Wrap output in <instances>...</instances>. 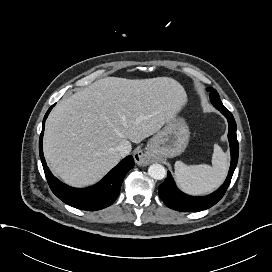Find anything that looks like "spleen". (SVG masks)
<instances>
[{
    "mask_svg": "<svg viewBox=\"0 0 272 272\" xmlns=\"http://www.w3.org/2000/svg\"><path fill=\"white\" fill-rule=\"evenodd\" d=\"M229 168L226 154L214 144L212 166H187L181 161L175 163V177L179 186L187 193L203 195L218 188L224 181Z\"/></svg>",
    "mask_w": 272,
    "mask_h": 272,
    "instance_id": "spleen-1",
    "label": "spleen"
}]
</instances>
